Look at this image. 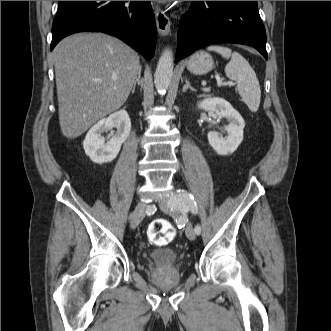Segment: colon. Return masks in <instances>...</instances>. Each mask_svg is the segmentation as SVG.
I'll return each mask as SVG.
<instances>
[{"label": "colon", "instance_id": "obj_1", "mask_svg": "<svg viewBox=\"0 0 331 331\" xmlns=\"http://www.w3.org/2000/svg\"><path fill=\"white\" fill-rule=\"evenodd\" d=\"M149 240L155 245H166L175 237V228L165 219L153 220L147 230Z\"/></svg>", "mask_w": 331, "mask_h": 331}]
</instances>
